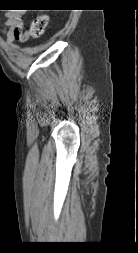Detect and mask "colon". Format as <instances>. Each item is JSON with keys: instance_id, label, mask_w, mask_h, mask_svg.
<instances>
[{"instance_id": "5ec220e1", "label": "colon", "mask_w": 138, "mask_h": 253, "mask_svg": "<svg viewBox=\"0 0 138 253\" xmlns=\"http://www.w3.org/2000/svg\"><path fill=\"white\" fill-rule=\"evenodd\" d=\"M48 24V16L45 14L37 15L32 21L29 35L32 38L38 39L43 36Z\"/></svg>"}]
</instances>
